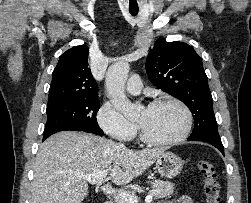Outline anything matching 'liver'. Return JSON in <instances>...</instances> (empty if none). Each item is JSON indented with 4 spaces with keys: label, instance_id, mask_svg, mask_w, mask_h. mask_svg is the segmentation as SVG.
<instances>
[{
    "label": "liver",
    "instance_id": "6515ba94",
    "mask_svg": "<svg viewBox=\"0 0 251 203\" xmlns=\"http://www.w3.org/2000/svg\"><path fill=\"white\" fill-rule=\"evenodd\" d=\"M164 152L165 148L135 151L92 134L58 132L39 147L31 203H81L88 184L77 174L106 169L114 184H128Z\"/></svg>",
    "mask_w": 251,
    "mask_h": 203
}]
</instances>
